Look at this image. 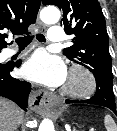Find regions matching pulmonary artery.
Listing matches in <instances>:
<instances>
[{
  "label": "pulmonary artery",
  "instance_id": "obj_1",
  "mask_svg": "<svg viewBox=\"0 0 117 131\" xmlns=\"http://www.w3.org/2000/svg\"><path fill=\"white\" fill-rule=\"evenodd\" d=\"M62 37H63V31L62 28L59 26H52L49 29L48 32V40L52 43H56V42H60L62 41ZM11 54L14 53V51L10 52Z\"/></svg>",
  "mask_w": 117,
  "mask_h": 131
}]
</instances>
